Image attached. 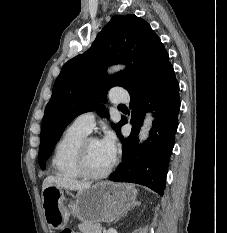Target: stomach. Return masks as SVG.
I'll list each match as a JSON object with an SVG mask.
<instances>
[{
  "instance_id": "stomach-1",
  "label": "stomach",
  "mask_w": 227,
  "mask_h": 233,
  "mask_svg": "<svg viewBox=\"0 0 227 233\" xmlns=\"http://www.w3.org/2000/svg\"><path fill=\"white\" fill-rule=\"evenodd\" d=\"M136 195L132 185L100 182L66 199L61 187L50 185L42 191V206L47 225L62 229L71 215L91 223L118 220L136 204Z\"/></svg>"
}]
</instances>
